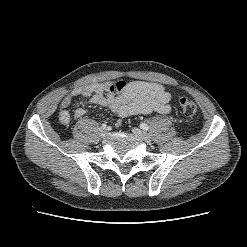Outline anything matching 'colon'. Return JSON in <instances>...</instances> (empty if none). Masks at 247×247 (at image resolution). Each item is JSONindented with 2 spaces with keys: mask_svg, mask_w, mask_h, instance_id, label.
Returning a JSON list of instances; mask_svg holds the SVG:
<instances>
[{
  "mask_svg": "<svg viewBox=\"0 0 247 247\" xmlns=\"http://www.w3.org/2000/svg\"><path fill=\"white\" fill-rule=\"evenodd\" d=\"M179 106L182 113L187 117H193L197 112L196 104L186 97L180 98Z\"/></svg>",
  "mask_w": 247,
  "mask_h": 247,
  "instance_id": "colon-1",
  "label": "colon"
}]
</instances>
